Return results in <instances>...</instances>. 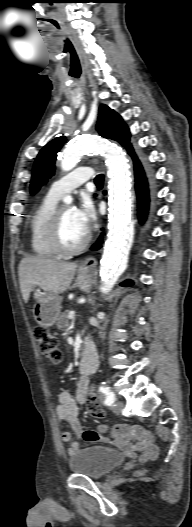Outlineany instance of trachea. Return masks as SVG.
I'll return each instance as SVG.
<instances>
[{
	"instance_id": "1",
	"label": "trachea",
	"mask_w": 192,
	"mask_h": 527,
	"mask_svg": "<svg viewBox=\"0 0 192 527\" xmlns=\"http://www.w3.org/2000/svg\"><path fill=\"white\" fill-rule=\"evenodd\" d=\"M103 180H104V176L102 174H99L95 178V184L97 186H102L103 185Z\"/></svg>"
}]
</instances>
